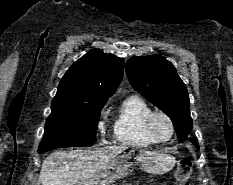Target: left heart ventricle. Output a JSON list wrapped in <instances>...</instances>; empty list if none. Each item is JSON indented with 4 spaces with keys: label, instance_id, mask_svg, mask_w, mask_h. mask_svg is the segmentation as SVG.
Here are the masks:
<instances>
[{
    "label": "left heart ventricle",
    "instance_id": "1",
    "mask_svg": "<svg viewBox=\"0 0 233 185\" xmlns=\"http://www.w3.org/2000/svg\"><path fill=\"white\" fill-rule=\"evenodd\" d=\"M154 130L161 139H167L171 135V128L168 121L163 117H158L154 122Z\"/></svg>",
    "mask_w": 233,
    "mask_h": 185
}]
</instances>
